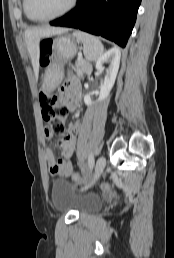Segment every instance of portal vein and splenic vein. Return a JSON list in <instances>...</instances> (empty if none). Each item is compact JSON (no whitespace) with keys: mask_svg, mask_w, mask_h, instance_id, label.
Wrapping results in <instances>:
<instances>
[{"mask_svg":"<svg viewBox=\"0 0 174 258\" xmlns=\"http://www.w3.org/2000/svg\"><path fill=\"white\" fill-rule=\"evenodd\" d=\"M82 58V55H78V59Z\"/></svg>","mask_w":174,"mask_h":258,"instance_id":"portal-vein-and-splenic-vein-1","label":"portal vein and splenic vein"}]
</instances>
